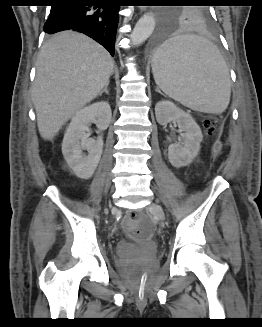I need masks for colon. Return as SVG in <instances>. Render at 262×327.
<instances>
[{
  "mask_svg": "<svg viewBox=\"0 0 262 327\" xmlns=\"http://www.w3.org/2000/svg\"><path fill=\"white\" fill-rule=\"evenodd\" d=\"M206 133L213 136L218 129V122L213 118H208L204 121ZM220 150V145L215 146V151ZM126 229L128 233L137 240H147L154 232V224L152 220L143 213H132L126 220Z\"/></svg>",
  "mask_w": 262,
  "mask_h": 327,
  "instance_id": "colon-1",
  "label": "colon"
}]
</instances>
